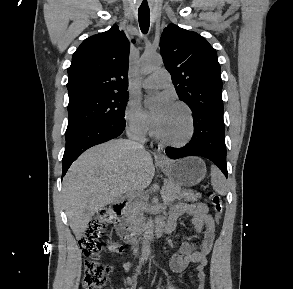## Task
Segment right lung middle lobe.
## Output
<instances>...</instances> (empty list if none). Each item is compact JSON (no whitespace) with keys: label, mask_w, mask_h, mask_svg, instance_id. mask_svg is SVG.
Returning <instances> with one entry per match:
<instances>
[{"label":"right lung middle lobe","mask_w":293,"mask_h":289,"mask_svg":"<svg viewBox=\"0 0 293 289\" xmlns=\"http://www.w3.org/2000/svg\"><path fill=\"white\" fill-rule=\"evenodd\" d=\"M128 92L89 95L68 104V127L65 137L88 126L123 119Z\"/></svg>","instance_id":"right-lung-middle-lobe-1"}]
</instances>
